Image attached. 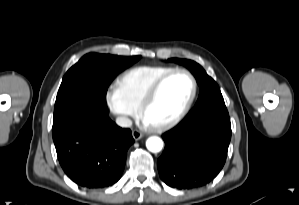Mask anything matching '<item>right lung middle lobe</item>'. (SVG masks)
Segmentation results:
<instances>
[{"instance_id": "1", "label": "right lung middle lobe", "mask_w": 299, "mask_h": 205, "mask_svg": "<svg viewBox=\"0 0 299 205\" xmlns=\"http://www.w3.org/2000/svg\"><path fill=\"white\" fill-rule=\"evenodd\" d=\"M140 58L96 53L83 56L63 77L53 120L84 103L106 106V92L111 81Z\"/></svg>"}]
</instances>
